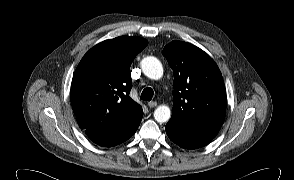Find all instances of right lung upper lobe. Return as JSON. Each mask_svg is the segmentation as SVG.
Wrapping results in <instances>:
<instances>
[{
  "instance_id": "obj_1",
  "label": "right lung upper lobe",
  "mask_w": 294,
  "mask_h": 180,
  "mask_svg": "<svg viewBox=\"0 0 294 180\" xmlns=\"http://www.w3.org/2000/svg\"><path fill=\"white\" fill-rule=\"evenodd\" d=\"M148 41L134 36L105 40L80 61L71 85V104L77 122L90 135L112 132L142 107L130 96V66Z\"/></svg>"
}]
</instances>
